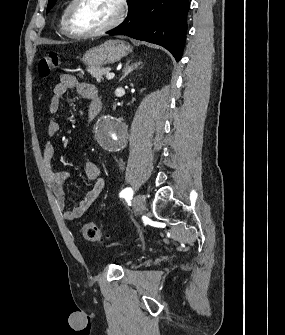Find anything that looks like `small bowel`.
<instances>
[{"instance_id": "obj_1", "label": "small bowel", "mask_w": 285, "mask_h": 335, "mask_svg": "<svg viewBox=\"0 0 285 335\" xmlns=\"http://www.w3.org/2000/svg\"><path fill=\"white\" fill-rule=\"evenodd\" d=\"M71 89H75L81 97L88 100V109L94 102L100 101L94 85L79 82L73 75L63 74L60 77V81L53 88V95L49 103V111L51 114H56L59 111L63 97ZM59 129V123L56 120H51L47 126L48 136H55L59 132ZM54 156V146L52 143L47 142L43 148V158L48 181L55 195L57 206L62 212L63 218L66 221H75L80 218L100 196L105 184L104 179L101 176V169L94 162H88L85 165V175L89 180L94 182L93 186L76 207L69 209L67 208L66 198L63 191L66 175L63 170L56 168L54 164Z\"/></svg>"}]
</instances>
